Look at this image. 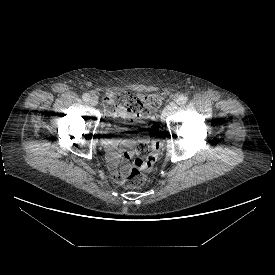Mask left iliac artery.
Instances as JSON below:
<instances>
[{"label": "left iliac artery", "instance_id": "obj_1", "mask_svg": "<svg viewBox=\"0 0 275 275\" xmlns=\"http://www.w3.org/2000/svg\"><path fill=\"white\" fill-rule=\"evenodd\" d=\"M187 97L186 96H184V95H180L178 98H177V100H176V102H177V104L178 105H185L186 103H187Z\"/></svg>", "mask_w": 275, "mask_h": 275}]
</instances>
